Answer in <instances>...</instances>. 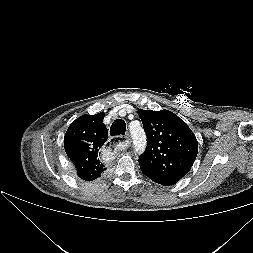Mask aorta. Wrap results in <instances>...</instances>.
I'll return each instance as SVG.
<instances>
[{"label":"aorta","mask_w":253,"mask_h":253,"mask_svg":"<svg viewBox=\"0 0 253 253\" xmlns=\"http://www.w3.org/2000/svg\"><path fill=\"white\" fill-rule=\"evenodd\" d=\"M130 133L133 139L135 149L139 152L143 151L146 146V135L141 127H131Z\"/></svg>","instance_id":"aorta-1"}]
</instances>
